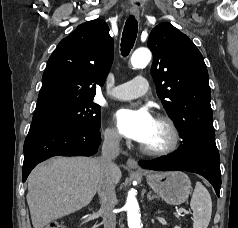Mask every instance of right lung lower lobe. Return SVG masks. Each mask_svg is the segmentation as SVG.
<instances>
[{"label":"right lung lower lobe","mask_w":238,"mask_h":228,"mask_svg":"<svg viewBox=\"0 0 238 228\" xmlns=\"http://www.w3.org/2000/svg\"><path fill=\"white\" fill-rule=\"evenodd\" d=\"M100 143L99 129L67 123H32L24 142L23 182L38 163L58 155L91 156Z\"/></svg>","instance_id":"right-lung-lower-lobe-1"}]
</instances>
